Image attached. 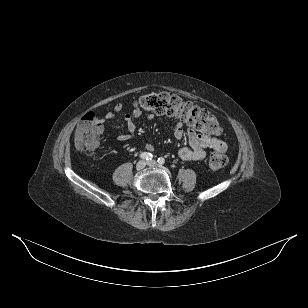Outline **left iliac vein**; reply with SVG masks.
I'll use <instances>...</instances> for the list:
<instances>
[{
    "label": "left iliac vein",
    "mask_w": 308,
    "mask_h": 308,
    "mask_svg": "<svg viewBox=\"0 0 308 308\" xmlns=\"http://www.w3.org/2000/svg\"><path fill=\"white\" fill-rule=\"evenodd\" d=\"M147 164H148L149 166H156V165H157V162H156L155 160H149V161L147 162Z\"/></svg>",
    "instance_id": "obj_1"
}]
</instances>
